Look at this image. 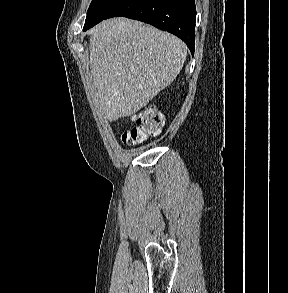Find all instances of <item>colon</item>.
I'll use <instances>...</instances> for the list:
<instances>
[{
    "instance_id": "colon-1",
    "label": "colon",
    "mask_w": 288,
    "mask_h": 293,
    "mask_svg": "<svg viewBox=\"0 0 288 293\" xmlns=\"http://www.w3.org/2000/svg\"><path fill=\"white\" fill-rule=\"evenodd\" d=\"M134 126L122 136V142L131 146L142 143L151 136L157 135L163 125V117L156 109L145 108L131 116Z\"/></svg>"
}]
</instances>
